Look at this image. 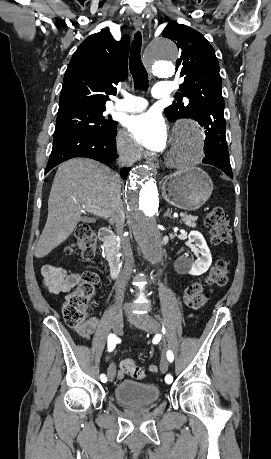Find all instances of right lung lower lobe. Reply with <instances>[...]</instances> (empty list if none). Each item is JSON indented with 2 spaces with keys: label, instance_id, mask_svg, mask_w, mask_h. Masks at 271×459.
Instances as JSON below:
<instances>
[{
  "label": "right lung lower lobe",
  "instance_id": "obj_1",
  "mask_svg": "<svg viewBox=\"0 0 271 459\" xmlns=\"http://www.w3.org/2000/svg\"><path fill=\"white\" fill-rule=\"evenodd\" d=\"M115 129L108 132L75 131L55 138L45 174L61 162L74 157L92 158L102 163L112 162L117 157L113 138ZM129 170H121L123 179Z\"/></svg>",
  "mask_w": 271,
  "mask_h": 459
}]
</instances>
